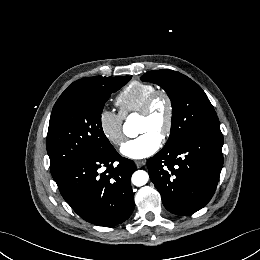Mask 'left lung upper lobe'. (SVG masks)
Returning a JSON list of instances; mask_svg holds the SVG:
<instances>
[{"mask_svg":"<svg viewBox=\"0 0 260 260\" xmlns=\"http://www.w3.org/2000/svg\"><path fill=\"white\" fill-rule=\"evenodd\" d=\"M156 83L172 103L171 133L165 147L175 146L192 135L220 131L216 112L201 87L187 76L172 70H154L141 77Z\"/></svg>","mask_w":260,"mask_h":260,"instance_id":"obj_1","label":"left lung upper lobe"}]
</instances>
